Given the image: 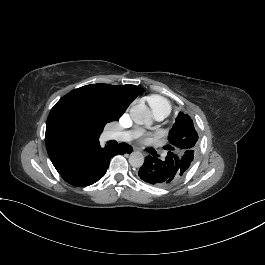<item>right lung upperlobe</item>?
Segmentation results:
<instances>
[{"mask_svg":"<svg viewBox=\"0 0 265 265\" xmlns=\"http://www.w3.org/2000/svg\"><path fill=\"white\" fill-rule=\"evenodd\" d=\"M143 91V88L131 84H91L61 98L50 111L45 134L47 152L54 167H60L76 153L99 144L104 128L92 109L75 112L72 103L112 104L125 112Z\"/></svg>","mask_w":265,"mask_h":265,"instance_id":"cb5924a9","label":"right lung upper lobe"}]
</instances>
